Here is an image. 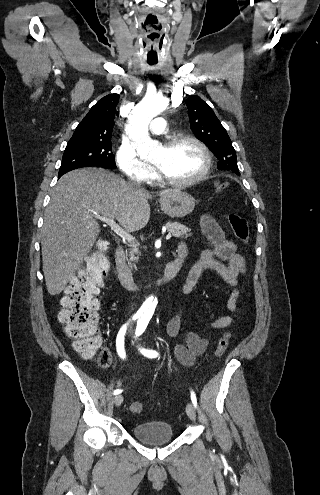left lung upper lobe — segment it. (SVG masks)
Instances as JSON below:
<instances>
[{
	"label": "left lung upper lobe",
	"mask_w": 320,
	"mask_h": 495,
	"mask_svg": "<svg viewBox=\"0 0 320 495\" xmlns=\"http://www.w3.org/2000/svg\"><path fill=\"white\" fill-rule=\"evenodd\" d=\"M186 105L192 131L219 159L218 169L239 174L235 149L212 108L198 96H190Z\"/></svg>",
	"instance_id": "left-lung-upper-lobe-1"
}]
</instances>
